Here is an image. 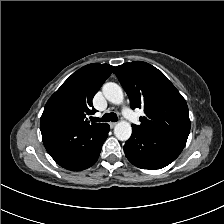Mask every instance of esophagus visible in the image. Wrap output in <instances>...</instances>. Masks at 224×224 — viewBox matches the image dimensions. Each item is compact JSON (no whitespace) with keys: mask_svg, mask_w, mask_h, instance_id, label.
I'll return each mask as SVG.
<instances>
[{"mask_svg":"<svg viewBox=\"0 0 224 224\" xmlns=\"http://www.w3.org/2000/svg\"><path fill=\"white\" fill-rule=\"evenodd\" d=\"M109 125H110L111 128H113V127H115L116 122H109Z\"/></svg>","mask_w":224,"mask_h":224,"instance_id":"1","label":"esophagus"}]
</instances>
